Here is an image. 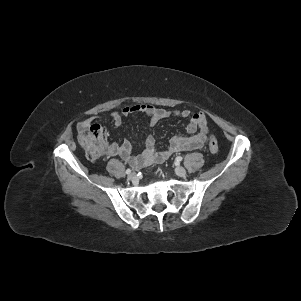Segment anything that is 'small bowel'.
<instances>
[{
	"mask_svg": "<svg viewBox=\"0 0 301 301\" xmlns=\"http://www.w3.org/2000/svg\"><path fill=\"white\" fill-rule=\"evenodd\" d=\"M133 113L144 114L148 118L150 127H154L160 121L169 117L188 118L186 133L171 138L169 146L164 150H157L155 139L152 135L148 136L144 142L143 149L133 153V146L127 140L117 143L113 142L106 146L104 154L106 156H119L130 166L136 168L148 166L154 163H162L171 155L202 148L207 142L208 121L204 113H191L190 110H166L150 104H134L124 107L121 112L111 114V121L115 126H121L122 117ZM94 118H89L78 123V129L91 123Z\"/></svg>",
	"mask_w": 301,
	"mask_h": 301,
	"instance_id": "c3829d8e",
	"label": "small bowel"
}]
</instances>
